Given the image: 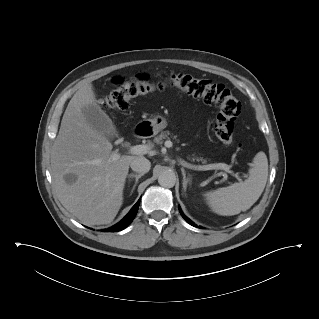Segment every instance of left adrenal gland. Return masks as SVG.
I'll list each match as a JSON object with an SVG mask.
<instances>
[{
  "label": "left adrenal gland",
  "mask_w": 319,
  "mask_h": 319,
  "mask_svg": "<svg viewBox=\"0 0 319 319\" xmlns=\"http://www.w3.org/2000/svg\"><path fill=\"white\" fill-rule=\"evenodd\" d=\"M182 171V175H183V189L184 191H186L187 188V184L191 182V175L189 174L188 176H186V172L183 168H181Z\"/></svg>",
  "instance_id": "left-adrenal-gland-1"
}]
</instances>
